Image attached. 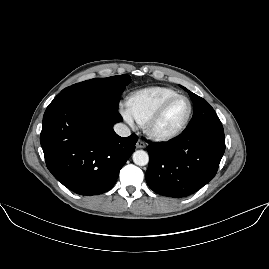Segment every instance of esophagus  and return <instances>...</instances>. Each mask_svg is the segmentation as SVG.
I'll return each mask as SVG.
<instances>
[{
	"mask_svg": "<svg viewBox=\"0 0 269 269\" xmlns=\"http://www.w3.org/2000/svg\"><path fill=\"white\" fill-rule=\"evenodd\" d=\"M145 147L146 143L143 140L139 139L136 143V148H145Z\"/></svg>",
	"mask_w": 269,
	"mask_h": 269,
	"instance_id": "34e87169",
	"label": "esophagus"
}]
</instances>
